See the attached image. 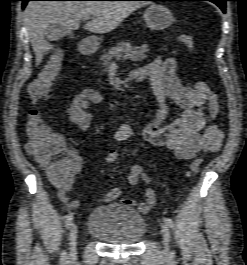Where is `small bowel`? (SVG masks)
Listing matches in <instances>:
<instances>
[{
	"label": "small bowel",
	"instance_id": "1",
	"mask_svg": "<svg viewBox=\"0 0 247 265\" xmlns=\"http://www.w3.org/2000/svg\"><path fill=\"white\" fill-rule=\"evenodd\" d=\"M177 65L174 57L156 58L134 69L131 77L138 81L149 80L158 105L154 118L144 128L145 141L152 146L173 151L177 160L184 161L195 158L200 152H217L222 144L223 132L217 123L208 124L209 120H216L220 113L217 95L205 82L184 84L176 74ZM101 100L102 96L98 91L92 88L81 90L73 97L67 109V120L82 132H87L93 119L90 106L100 103ZM170 102L181 109V115L168 122ZM133 134L131 125L121 124L115 128L113 137L117 141H125ZM63 153L70 162L69 174L63 180L51 179V183L57 189L60 201L68 208L76 209L80 206V201L73 199L70 192L75 176L83 167V158L79 151L71 146L64 145ZM127 181L133 186L141 181L149 184L151 177L137 164L129 169ZM144 194L145 201L142 202L121 198L122 189L115 187L99 197L97 202L108 204L120 201L135 206L141 213H147L155 205L157 197L152 188H146Z\"/></svg>",
	"mask_w": 247,
	"mask_h": 265
}]
</instances>
